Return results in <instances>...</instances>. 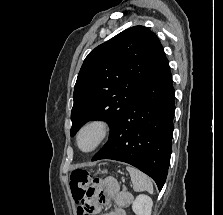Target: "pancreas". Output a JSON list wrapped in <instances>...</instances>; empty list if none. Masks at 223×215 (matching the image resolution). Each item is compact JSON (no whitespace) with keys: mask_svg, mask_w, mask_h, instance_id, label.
I'll return each mask as SVG.
<instances>
[{"mask_svg":"<svg viewBox=\"0 0 223 215\" xmlns=\"http://www.w3.org/2000/svg\"><path fill=\"white\" fill-rule=\"evenodd\" d=\"M123 191H126V187H123Z\"/></svg>","mask_w":223,"mask_h":215,"instance_id":"1","label":"pancreas"}]
</instances>
